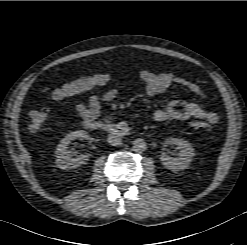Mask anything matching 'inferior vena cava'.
Listing matches in <instances>:
<instances>
[{"mask_svg": "<svg viewBox=\"0 0 247 245\" xmlns=\"http://www.w3.org/2000/svg\"><path fill=\"white\" fill-rule=\"evenodd\" d=\"M107 141L112 146H118L122 142L121 138L118 135H115V134H110Z\"/></svg>", "mask_w": 247, "mask_h": 245, "instance_id": "obj_1", "label": "inferior vena cava"}]
</instances>
